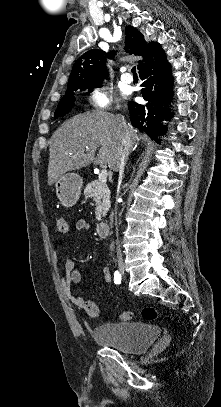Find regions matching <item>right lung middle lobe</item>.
<instances>
[{
  "mask_svg": "<svg viewBox=\"0 0 221 407\" xmlns=\"http://www.w3.org/2000/svg\"><path fill=\"white\" fill-rule=\"evenodd\" d=\"M96 87H101V85H98ZM92 88L93 87L82 88V89H92ZM82 89H80V90H82ZM77 90L78 89H74L71 91H67L65 93V95L62 97L60 103L58 104V107L55 112V118L65 116L66 114H68L71 111L74 101H75V96H74L75 91H77Z\"/></svg>",
  "mask_w": 221,
  "mask_h": 407,
  "instance_id": "1",
  "label": "right lung middle lobe"
}]
</instances>
